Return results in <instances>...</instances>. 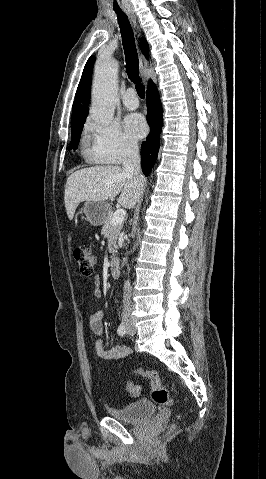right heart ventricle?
<instances>
[{"mask_svg":"<svg viewBox=\"0 0 266 479\" xmlns=\"http://www.w3.org/2000/svg\"><path fill=\"white\" fill-rule=\"evenodd\" d=\"M84 154H85L86 157L89 158V147L86 146V147L84 148Z\"/></svg>","mask_w":266,"mask_h":479,"instance_id":"obj_1","label":"right heart ventricle"}]
</instances>
